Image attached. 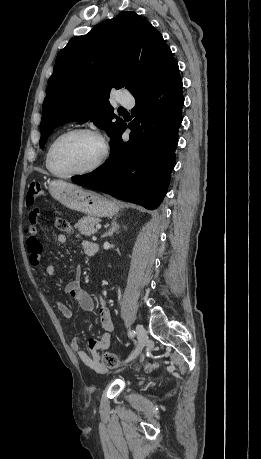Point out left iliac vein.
<instances>
[{
    "label": "left iliac vein",
    "instance_id": "1",
    "mask_svg": "<svg viewBox=\"0 0 261 459\" xmlns=\"http://www.w3.org/2000/svg\"><path fill=\"white\" fill-rule=\"evenodd\" d=\"M136 333L138 336V345L125 362H129L133 360L134 358H136L147 343V333H146L145 328L142 325L137 324Z\"/></svg>",
    "mask_w": 261,
    "mask_h": 459
}]
</instances>
